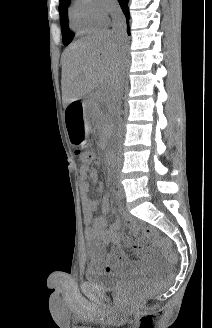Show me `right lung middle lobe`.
<instances>
[{"label": "right lung middle lobe", "mask_w": 212, "mask_h": 328, "mask_svg": "<svg viewBox=\"0 0 212 328\" xmlns=\"http://www.w3.org/2000/svg\"><path fill=\"white\" fill-rule=\"evenodd\" d=\"M69 2L70 0H60V5H59L60 23H61L62 39L64 45H68L74 38V34L70 32L68 26L67 7Z\"/></svg>", "instance_id": "right-lung-middle-lobe-1"}]
</instances>
